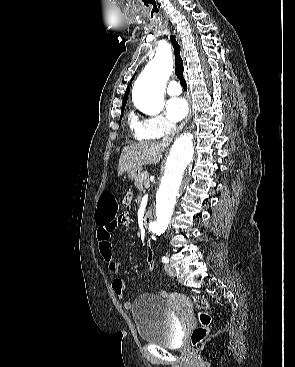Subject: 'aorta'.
<instances>
[{
  "label": "aorta",
  "instance_id": "1",
  "mask_svg": "<svg viewBox=\"0 0 295 367\" xmlns=\"http://www.w3.org/2000/svg\"><path fill=\"white\" fill-rule=\"evenodd\" d=\"M171 72L172 61L166 56L157 55L146 65L132 92L134 104L140 111L149 115H156L161 111L165 85ZM193 152V135L189 132L180 135L170 150L157 190L156 220L149 226L153 234L161 235L168 227Z\"/></svg>",
  "mask_w": 295,
  "mask_h": 367
}]
</instances>
